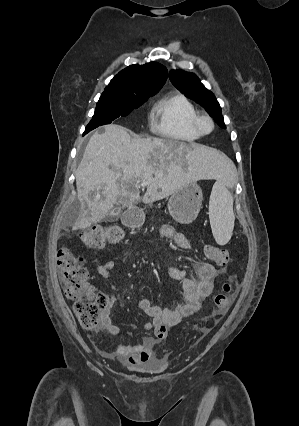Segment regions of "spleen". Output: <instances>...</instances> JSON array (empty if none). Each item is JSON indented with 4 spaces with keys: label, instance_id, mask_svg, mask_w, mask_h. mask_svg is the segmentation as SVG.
<instances>
[{
    "label": "spleen",
    "instance_id": "obj_1",
    "mask_svg": "<svg viewBox=\"0 0 299 426\" xmlns=\"http://www.w3.org/2000/svg\"><path fill=\"white\" fill-rule=\"evenodd\" d=\"M233 196L223 179L213 185L209 201V219L215 241L225 245L231 239L235 216L233 212Z\"/></svg>",
    "mask_w": 299,
    "mask_h": 426
}]
</instances>
